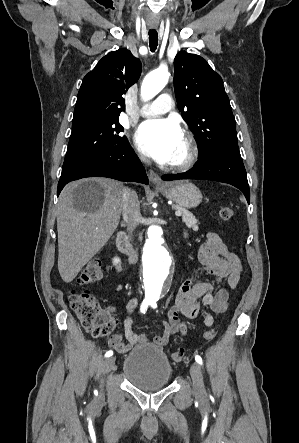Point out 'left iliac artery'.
<instances>
[{
  "instance_id": "1",
  "label": "left iliac artery",
  "mask_w": 299,
  "mask_h": 443,
  "mask_svg": "<svg viewBox=\"0 0 299 443\" xmlns=\"http://www.w3.org/2000/svg\"><path fill=\"white\" fill-rule=\"evenodd\" d=\"M157 301H158V299L150 300V306L155 309L157 307V303H156ZM195 360L198 364H200V365L203 364L202 358L199 355L195 356Z\"/></svg>"
}]
</instances>
